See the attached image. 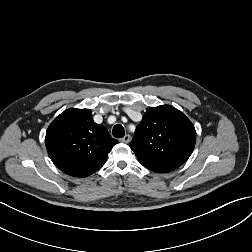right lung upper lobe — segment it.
Returning a JSON list of instances; mask_svg holds the SVG:
<instances>
[{"mask_svg":"<svg viewBox=\"0 0 252 252\" xmlns=\"http://www.w3.org/2000/svg\"><path fill=\"white\" fill-rule=\"evenodd\" d=\"M118 141L96 124L88 109H68L49 125L45 144L52 162L64 173L86 177L101 168Z\"/></svg>","mask_w":252,"mask_h":252,"instance_id":"obj_1","label":"right lung upper lobe"}]
</instances>
